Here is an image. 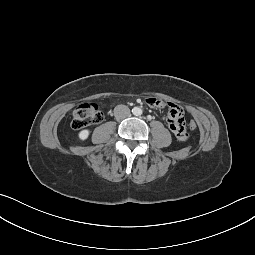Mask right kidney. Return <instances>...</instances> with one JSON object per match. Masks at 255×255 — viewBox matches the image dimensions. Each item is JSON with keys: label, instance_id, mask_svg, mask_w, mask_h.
Segmentation results:
<instances>
[{"label": "right kidney", "instance_id": "ca27d5eb", "mask_svg": "<svg viewBox=\"0 0 255 255\" xmlns=\"http://www.w3.org/2000/svg\"><path fill=\"white\" fill-rule=\"evenodd\" d=\"M89 134H90V131L88 129H84V130L79 132L78 138L81 141H84V140H86L88 138Z\"/></svg>", "mask_w": 255, "mask_h": 255}]
</instances>
